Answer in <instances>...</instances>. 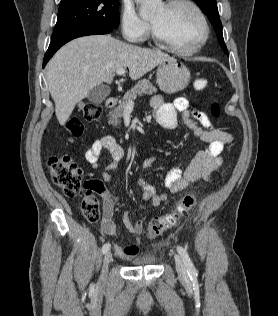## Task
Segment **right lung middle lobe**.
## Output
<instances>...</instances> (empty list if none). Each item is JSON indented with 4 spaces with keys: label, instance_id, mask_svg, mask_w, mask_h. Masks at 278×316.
<instances>
[{
    "label": "right lung middle lobe",
    "instance_id": "right-lung-middle-lobe-1",
    "mask_svg": "<svg viewBox=\"0 0 278 316\" xmlns=\"http://www.w3.org/2000/svg\"><path fill=\"white\" fill-rule=\"evenodd\" d=\"M118 25L119 0H61L52 40L80 30Z\"/></svg>",
    "mask_w": 278,
    "mask_h": 316
}]
</instances>
